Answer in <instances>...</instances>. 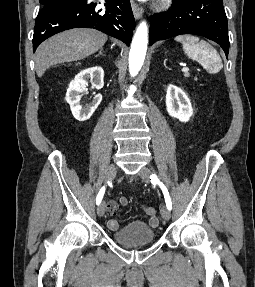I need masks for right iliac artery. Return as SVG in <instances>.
<instances>
[{
  "label": "right iliac artery",
  "instance_id": "1",
  "mask_svg": "<svg viewBox=\"0 0 255 287\" xmlns=\"http://www.w3.org/2000/svg\"><path fill=\"white\" fill-rule=\"evenodd\" d=\"M108 184H109V182H108ZM104 193H105V186H103V187L100 189V191H99V193H98V195H97V198H96V203H97V205H99V204L101 203V200H102V198H103Z\"/></svg>",
  "mask_w": 255,
  "mask_h": 287
}]
</instances>
